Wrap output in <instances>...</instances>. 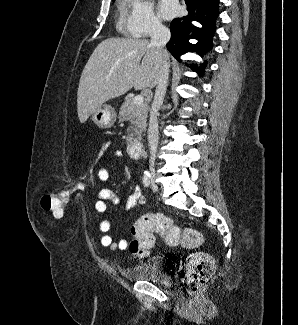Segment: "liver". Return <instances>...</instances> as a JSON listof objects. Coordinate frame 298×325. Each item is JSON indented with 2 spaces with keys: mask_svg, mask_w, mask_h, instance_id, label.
Returning a JSON list of instances; mask_svg holds the SVG:
<instances>
[{
  "mask_svg": "<svg viewBox=\"0 0 298 325\" xmlns=\"http://www.w3.org/2000/svg\"><path fill=\"white\" fill-rule=\"evenodd\" d=\"M162 64L148 38H105L94 48L80 76L77 114L86 122L101 104L130 88H154Z\"/></svg>",
  "mask_w": 298,
  "mask_h": 325,
  "instance_id": "1",
  "label": "liver"
}]
</instances>
